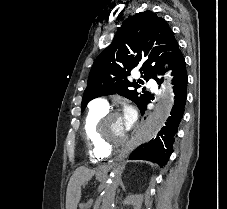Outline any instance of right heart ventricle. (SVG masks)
Returning <instances> with one entry per match:
<instances>
[{"label":"right heart ventricle","instance_id":"obj_1","mask_svg":"<svg viewBox=\"0 0 227 209\" xmlns=\"http://www.w3.org/2000/svg\"><path fill=\"white\" fill-rule=\"evenodd\" d=\"M107 112V108L94 106L84 119L81 133L88 147V157L94 164H103L111 158V152L105 151L96 141L95 127L98 120Z\"/></svg>","mask_w":227,"mask_h":209}]
</instances>
